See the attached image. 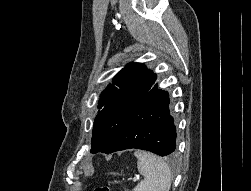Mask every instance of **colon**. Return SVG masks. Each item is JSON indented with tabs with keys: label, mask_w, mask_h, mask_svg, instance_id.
<instances>
[{
	"label": "colon",
	"mask_w": 251,
	"mask_h": 191,
	"mask_svg": "<svg viewBox=\"0 0 251 191\" xmlns=\"http://www.w3.org/2000/svg\"><path fill=\"white\" fill-rule=\"evenodd\" d=\"M95 191H114V189L110 187H97Z\"/></svg>",
	"instance_id": "5ec220e1"
}]
</instances>
